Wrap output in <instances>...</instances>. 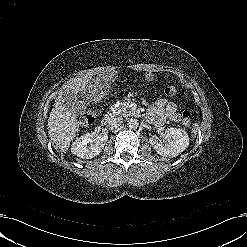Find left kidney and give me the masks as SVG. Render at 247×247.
Here are the masks:
<instances>
[{"instance_id": "obj_1", "label": "left kidney", "mask_w": 247, "mask_h": 247, "mask_svg": "<svg viewBox=\"0 0 247 247\" xmlns=\"http://www.w3.org/2000/svg\"><path fill=\"white\" fill-rule=\"evenodd\" d=\"M150 143L159 155L176 157L188 147L189 137L184 129L171 127L164 131L163 140L153 136Z\"/></svg>"}]
</instances>
